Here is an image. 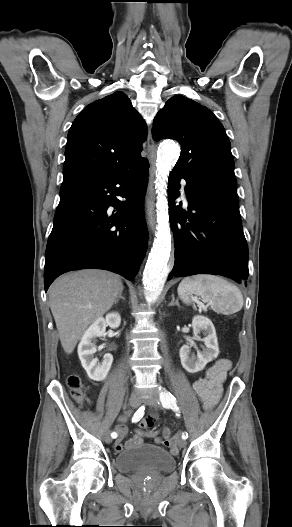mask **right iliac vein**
Segmentation results:
<instances>
[{"label": "right iliac vein", "instance_id": "63e3f726", "mask_svg": "<svg viewBox=\"0 0 292 527\" xmlns=\"http://www.w3.org/2000/svg\"><path fill=\"white\" fill-rule=\"evenodd\" d=\"M140 396L138 393H133L130 398H129V405L132 407V408H137L139 405H140ZM105 441L107 443H111L112 442V438L110 436V433L107 432L106 436H105Z\"/></svg>", "mask_w": 292, "mask_h": 527}]
</instances>
